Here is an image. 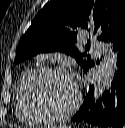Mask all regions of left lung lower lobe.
<instances>
[{
  "label": "left lung lower lobe",
  "mask_w": 125,
  "mask_h": 128,
  "mask_svg": "<svg viewBox=\"0 0 125 128\" xmlns=\"http://www.w3.org/2000/svg\"><path fill=\"white\" fill-rule=\"evenodd\" d=\"M110 42L114 45L113 52L117 54V70L111 87L95 101L94 86H91L79 111L72 117L73 122L84 121L104 128H125V25Z\"/></svg>",
  "instance_id": "obj_1"
}]
</instances>
